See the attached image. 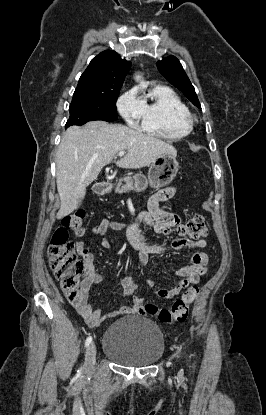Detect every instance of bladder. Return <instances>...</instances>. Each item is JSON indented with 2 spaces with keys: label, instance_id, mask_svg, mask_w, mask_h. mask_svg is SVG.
<instances>
[{
  "label": "bladder",
  "instance_id": "31cf9c89",
  "mask_svg": "<svg viewBox=\"0 0 266 415\" xmlns=\"http://www.w3.org/2000/svg\"><path fill=\"white\" fill-rule=\"evenodd\" d=\"M103 353L125 366H149L156 363L165 349L160 328L142 316H131L113 322L103 338Z\"/></svg>",
  "mask_w": 266,
  "mask_h": 415
}]
</instances>
